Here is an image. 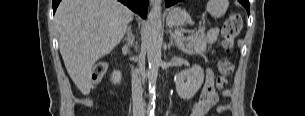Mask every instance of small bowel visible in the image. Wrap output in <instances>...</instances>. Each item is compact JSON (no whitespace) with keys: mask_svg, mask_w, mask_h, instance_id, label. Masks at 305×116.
I'll return each mask as SVG.
<instances>
[{"mask_svg":"<svg viewBox=\"0 0 305 116\" xmlns=\"http://www.w3.org/2000/svg\"><path fill=\"white\" fill-rule=\"evenodd\" d=\"M224 96H228L229 92L223 93ZM218 101V94L214 86V73L211 69L205 71V82L203 88L190 110V116H207L212 107L216 105ZM227 110V106L220 105L217 107V112L222 113Z\"/></svg>","mask_w":305,"mask_h":116,"instance_id":"1","label":"small bowel"}]
</instances>
